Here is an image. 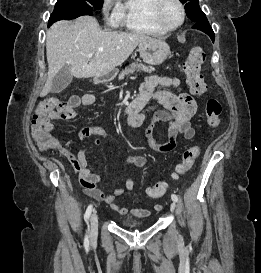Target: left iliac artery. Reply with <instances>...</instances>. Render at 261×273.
Here are the masks:
<instances>
[{"mask_svg":"<svg viewBox=\"0 0 261 273\" xmlns=\"http://www.w3.org/2000/svg\"><path fill=\"white\" fill-rule=\"evenodd\" d=\"M171 198L173 201L177 202L178 201V197L175 194L171 195Z\"/></svg>","mask_w":261,"mask_h":273,"instance_id":"left-iliac-artery-1","label":"left iliac artery"}]
</instances>
